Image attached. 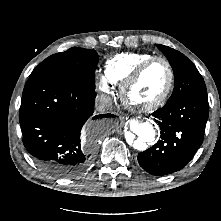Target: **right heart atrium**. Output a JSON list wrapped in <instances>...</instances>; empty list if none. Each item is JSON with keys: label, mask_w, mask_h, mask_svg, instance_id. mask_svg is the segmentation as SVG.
<instances>
[{"label": "right heart atrium", "mask_w": 221, "mask_h": 221, "mask_svg": "<svg viewBox=\"0 0 221 221\" xmlns=\"http://www.w3.org/2000/svg\"><path fill=\"white\" fill-rule=\"evenodd\" d=\"M98 88L103 94L106 95L110 94L112 91V85L105 76L100 79Z\"/></svg>", "instance_id": "1"}]
</instances>
